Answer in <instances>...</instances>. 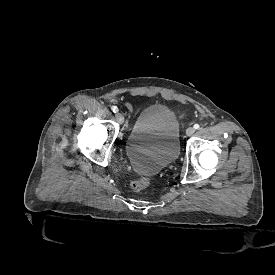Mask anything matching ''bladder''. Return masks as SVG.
Returning a JSON list of instances; mask_svg holds the SVG:
<instances>
[{
	"label": "bladder",
	"instance_id": "bladder-1",
	"mask_svg": "<svg viewBox=\"0 0 275 275\" xmlns=\"http://www.w3.org/2000/svg\"><path fill=\"white\" fill-rule=\"evenodd\" d=\"M180 122L165 103L145 105L139 112L128 140L131 164L141 173L155 174L180 154Z\"/></svg>",
	"mask_w": 275,
	"mask_h": 275
}]
</instances>
